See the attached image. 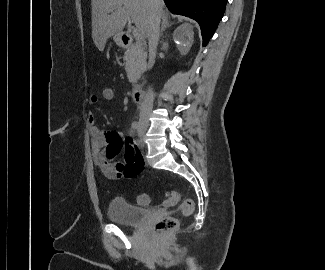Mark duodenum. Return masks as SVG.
Returning <instances> with one entry per match:
<instances>
[{"label":"duodenum","instance_id":"410a0bca","mask_svg":"<svg viewBox=\"0 0 325 270\" xmlns=\"http://www.w3.org/2000/svg\"><path fill=\"white\" fill-rule=\"evenodd\" d=\"M122 40L123 42L129 46L133 43V38L129 33H122ZM133 101L137 104L142 103L144 100V91L143 87L140 85H137L133 88L132 91Z\"/></svg>","mask_w":325,"mask_h":270}]
</instances>
